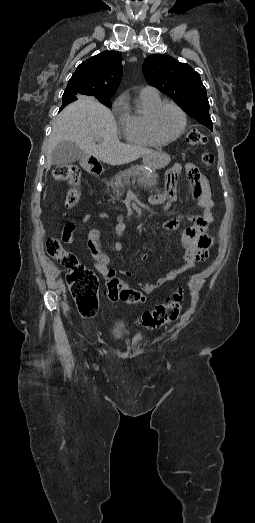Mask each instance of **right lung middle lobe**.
Segmentation results:
<instances>
[{"label":"right lung middle lobe","instance_id":"obj_1","mask_svg":"<svg viewBox=\"0 0 255 523\" xmlns=\"http://www.w3.org/2000/svg\"><path fill=\"white\" fill-rule=\"evenodd\" d=\"M98 101L100 103L104 104L107 107H111L112 106V102H111L110 98L98 99Z\"/></svg>","mask_w":255,"mask_h":523}]
</instances>
